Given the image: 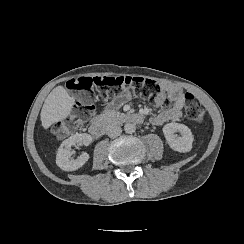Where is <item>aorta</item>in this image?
<instances>
[{
    "mask_svg": "<svg viewBox=\"0 0 244 244\" xmlns=\"http://www.w3.org/2000/svg\"><path fill=\"white\" fill-rule=\"evenodd\" d=\"M135 130H136V127H135V124H133V123H126L124 125V131L128 134L135 132Z\"/></svg>",
    "mask_w": 244,
    "mask_h": 244,
    "instance_id": "obj_1",
    "label": "aorta"
}]
</instances>
